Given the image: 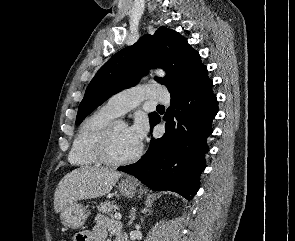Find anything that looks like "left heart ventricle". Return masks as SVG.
Masks as SVG:
<instances>
[{
  "label": "left heart ventricle",
  "mask_w": 295,
  "mask_h": 241,
  "mask_svg": "<svg viewBox=\"0 0 295 241\" xmlns=\"http://www.w3.org/2000/svg\"><path fill=\"white\" fill-rule=\"evenodd\" d=\"M140 145L135 143L130 137L128 127L122 122H118L111 144V154L116 159H123L132 156Z\"/></svg>",
  "instance_id": "left-heart-ventricle-1"
}]
</instances>
